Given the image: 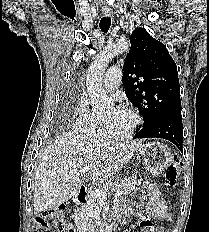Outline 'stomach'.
Wrapping results in <instances>:
<instances>
[{
	"label": "stomach",
	"mask_w": 209,
	"mask_h": 232,
	"mask_svg": "<svg viewBox=\"0 0 209 232\" xmlns=\"http://www.w3.org/2000/svg\"><path fill=\"white\" fill-rule=\"evenodd\" d=\"M139 155L146 171L157 176L170 164V152L165 145L159 142H149L139 147Z\"/></svg>",
	"instance_id": "1"
}]
</instances>
